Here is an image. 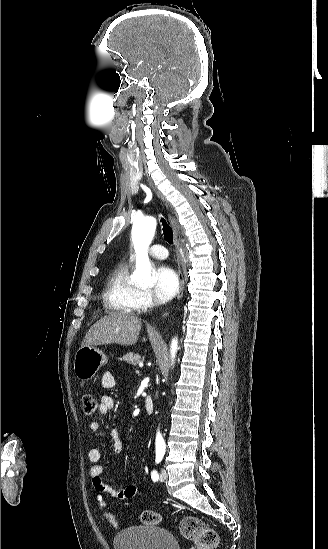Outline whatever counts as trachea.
I'll list each match as a JSON object with an SVG mask.
<instances>
[{"label": "trachea", "mask_w": 328, "mask_h": 549, "mask_svg": "<svg viewBox=\"0 0 328 549\" xmlns=\"http://www.w3.org/2000/svg\"><path fill=\"white\" fill-rule=\"evenodd\" d=\"M163 226L164 238L169 244H173V232L171 227L167 224L166 220L161 217L160 219Z\"/></svg>", "instance_id": "1"}]
</instances>
